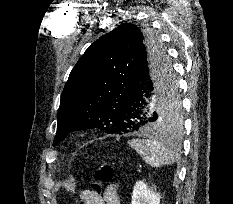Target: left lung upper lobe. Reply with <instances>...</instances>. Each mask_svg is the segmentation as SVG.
Here are the masks:
<instances>
[{
	"mask_svg": "<svg viewBox=\"0 0 233 204\" xmlns=\"http://www.w3.org/2000/svg\"><path fill=\"white\" fill-rule=\"evenodd\" d=\"M141 51L162 53L174 75L165 49L150 29L123 23L91 44L72 69L61 94L54 146L77 130L97 128L108 134H124L115 120ZM155 111L160 130L178 131L182 127L177 82L159 96Z\"/></svg>",
	"mask_w": 233,
	"mask_h": 204,
	"instance_id": "1",
	"label": "left lung upper lobe"
}]
</instances>
